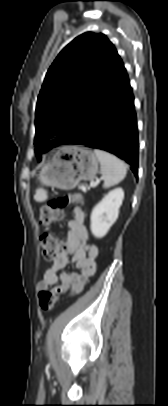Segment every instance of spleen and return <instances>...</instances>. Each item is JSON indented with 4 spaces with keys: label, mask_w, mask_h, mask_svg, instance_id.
Wrapping results in <instances>:
<instances>
[{
    "label": "spleen",
    "mask_w": 168,
    "mask_h": 406,
    "mask_svg": "<svg viewBox=\"0 0 168 406\" xmlns=\"http://www.w3.org/2000/svg\"><path fill=\"white\" fill-rule=\"evenodd\" d=\"M94 153L101 164L104 188L114 186L125 178L127 173L126 165L120 159L99 149H95ZM37 196L45 198L46 192L44 190H38Z\"/></svg>",
    "instance_id": "1"
}]
</instances>
